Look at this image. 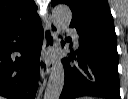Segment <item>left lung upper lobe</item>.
<instances>
[{"label": "left lung upper lobe", "mask_w": 128, "mask_h": 99, "mask_svg": "<svg viewBox=\"0 0 128 99\" xmlns=\"http://www.w3.org/2000/svg\"><path fill=\"white\" fill-rule=\"evenodd\" d=\"M67 4L73 13L71 26L76 29H95L114 35V22L107 0H52L53 6Z\"/></svg>", "instance_id": "left-lung-upper-lobe-1"}]
</instances>
